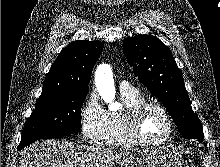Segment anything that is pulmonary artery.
<instances>
[{
    "instance_id": "1",
    "label": "pulmonary artery",
    "mask_w": 220,
    "mask_h": 167,
    "mask_svg": "<svg viewBox=\"0 0 220 167\" xmlns=\"http://www.w3.org/2000/svg\"><path fill=\"white\" fill-rule=\"evenodd\" d=\"M120 90L121 91H126V90H132V88L126 82H122L120 84Z\"/></svg>"
}]
</instances>
